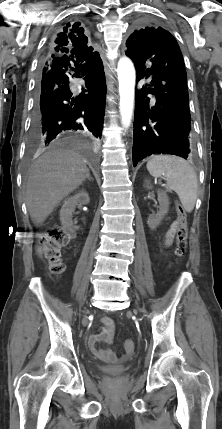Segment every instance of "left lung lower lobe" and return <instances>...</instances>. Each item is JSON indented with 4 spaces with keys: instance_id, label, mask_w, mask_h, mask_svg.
Instances as JSON below:
<instances>
[{
    "instance_id": "obj_1",
    "label": "left lung lower lobe",
    "mask_w": 222,
    "mask_h": 429,
    "mask_svg": "<svg viewBox=\"0 0 222 429\" xmlns=\"http://www.w3.org/2000/svg\"><path fill=\"white\" fill-rule=\"evenodd\" d=\"M137 79L151 82L135 90L133 165L152 154H172L187 159L191 151V115L184 60L176 39L169 33L160 43L150 41L127 48ZM148 94H153L150 101Z\"/></svg>"
}]
</instances>
